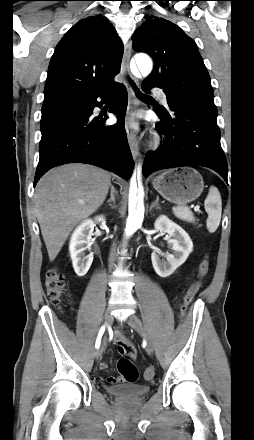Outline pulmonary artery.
I'll return each instance as SVG.
<instances>
[{
    "label": "pulmonary artery",
    "instance_id": "e3ab8cb5",
    "mask_svg": "<svg viewBox=\"0 0 254 440\" xmlns=\"http://www.w3.org/2000/svg\"><path fill=\"white\" fill-rule=\"evenodd\" d=\"M152 92L161 100L164 105H167L166 94L160 88H153Z\"/></svg>",
    "mask_w": 254,
    "mask_h": 440
}]
</instances>
